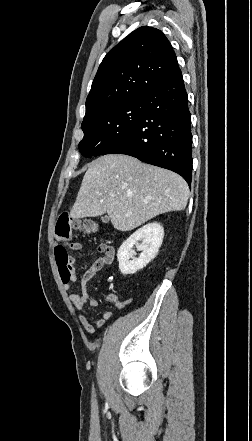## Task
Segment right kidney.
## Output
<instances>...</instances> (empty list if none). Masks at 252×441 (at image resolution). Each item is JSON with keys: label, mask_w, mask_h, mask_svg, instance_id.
<instances>
[{"label": "right kidney", "mask_w": 252, "mask_h": 441, "mask_svg": "<svg viewBox=\"0 0 252 441\" xmlns=\"http://www.w3.org/2000/svg\"><path fill=\"white\" fill-rule=\"evenodd\" d=\"M164 237V229L158 222L149 223L134 232L120 246L117 259L119 269L123 275H130L143 269L157 254ZM142 244H138V241ZM134 245L141 251L140 256L135 258L131 252Z\"/></svg>", "instance_id": "1"}]
</instances>
